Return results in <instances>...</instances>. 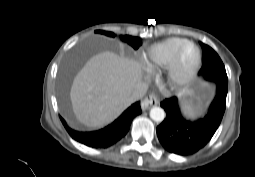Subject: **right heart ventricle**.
Masks as SVG:
<instances>
[{"label": "right heart ventricle", "mask_w": 255, "mask_h": 177, "mask_svg": "<svg viewBox=\"0 0 255 177\" xmlns=\"http://www.w3.org/2000/svg\"><path fill=\"white\" fill-rule=\"evenodd\" d=\"M185 41L184 38L173 37L152 45L143 53L145 65L149 68L165 67Z\"/></svg>", "instance_id": "1"}]
</instances>
